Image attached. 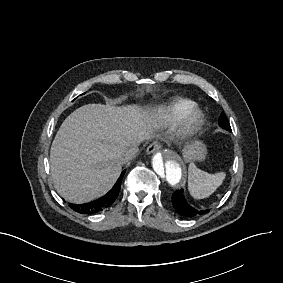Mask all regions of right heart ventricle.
Masks as SVG:
<instances>
[{"instance_id":"right-heart-ventricle-1","label":"right heart ventricle","mask_w":283,"mask_h":283,"mask_svg":"<svg viewBox=\"0 0 283 283\" xmlns=\"http://www.w3.org/2000/svg\"><path fill=\"white\" fill-rule=\"evenodd\" d=\"M154 111L158 114V108L154 109Z\"/></svg>"}]
</instances>
